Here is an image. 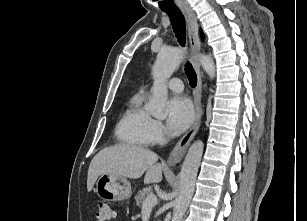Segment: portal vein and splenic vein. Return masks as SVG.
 <instances>
[{
    "label": "portal vein and splenic vein",
    "mask_w": 307,
    "mask_h": 221,
    "mask_svg": "<svg viewBox=\"0 0 307 221\" xmlns=\"http://www.w3.org/2000/svg\"><path fill=\"white\" fill-rule=\"evenodd\" d=\"M157 204V197L154 194L147 196L143 203V208L153 207Z\"/></svg>",
    "instance_id": "obj_1"
}]
</instances>
